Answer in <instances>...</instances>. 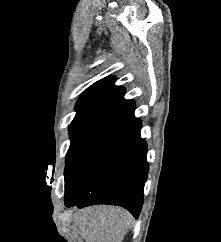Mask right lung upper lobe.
<instances>
[{
  "instance_id": "right-lung-upper-lobe-1",
  "label": "right lung upper lobe",
  "mask_w": 221,
  "mask_h": 242,
  "mask_svg": "<svg viewBox=\"0 0 221 242\" xmlns=\"http://www.w3.org/2000/svg\"><path fill=\"white\" fill-rule=\"evenodd\" d=\"M115 80L114 76L105 77L81 94L71 126L105 125L135 104L133 100L124 99L125 90L115 86Z\"/></svg>"
}]
</instances>
